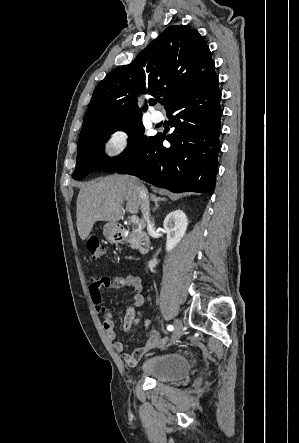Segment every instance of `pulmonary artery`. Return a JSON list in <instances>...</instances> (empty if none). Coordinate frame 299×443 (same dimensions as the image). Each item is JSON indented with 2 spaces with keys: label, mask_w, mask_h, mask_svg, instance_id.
<instances>
[{
  "label": "pulmonary artery",
  "mask_w": 299,
  "mask_h": 443,
  "mask_svg": "<svg viewBox=\"0 0 299 443\" xmlns=\"http://www.w3.org/2000/svg\"><path fill=\"white\" fill-rule=\"evenodd\" d=\"M150 118L153 122L158 123L163 120V115L160 111H153L150 115Z\"/></svg>",
  "instance_id": "obj_1"
}]
</instances>
